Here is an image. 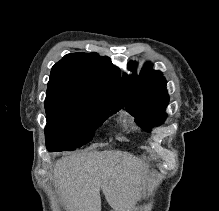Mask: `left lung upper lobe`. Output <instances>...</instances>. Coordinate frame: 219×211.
Listing matches in <instances>:
<instances>
[{
    "label": "left lung upper lobe",
    "mask_w": 219,
    "mask_h": 211,
    "mask_svg": "<svg viewBox=\"0 0 219 211\" xmlns=\"http://www.w3.org/2000/svg\"><path fill=\"white\" fill-rule=\"evenodd\" d=\"M136 67L135 62H130L128 69L133 74L123 76L125 108L143 129L150 131L151 126L162 124L167 117L164 113L169 102L166 79L160 71L152 70L151 65L137 76Z\"/></svg>",
    "instance_id": "obj_1"
}]
</instances>
